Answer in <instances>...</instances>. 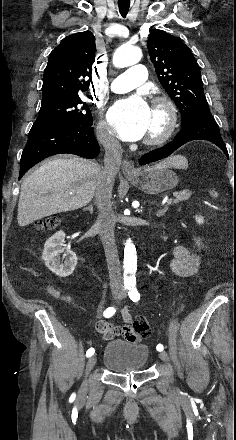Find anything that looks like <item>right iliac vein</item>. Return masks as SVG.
<instances>
[{
    "label": "right iliac vein",
    "mask_w": 236,
    "mask_h": 440,
    "mask_svg": "<svg viewBox=\"0 0 236 440\" xmlns=\"http://www.w3.org/2000/svg\"><path fill=\"white\" fill-rule=\"evenodd\" d=\"M117 295H118V293H114V296H117ZM96 361H97L96 356H91L88 359L87 364H86V374H88L94 368V366L96 364ZM82 388L84 390L87 388V382L86 381H84V383L82 385Z\"/></svg>",
    "instance_id": "right-iliac-vein-1"
}]
</instances>
